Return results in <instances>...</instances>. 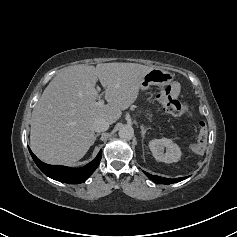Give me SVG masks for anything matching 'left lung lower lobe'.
I'll return each instance as SVG.
<instances>
[{
  "instance_id": "left-lung-lower-lobe-1",
  "label": "left lung lower lobe",
  "mask_w": 237,
  "mask_h": 237,
  "mask_svg": "<svg viewBox=\"0 0 237 237\" xmlns=\"http://www.w3.org/2000/svg\"><path fill=\"white\" fill-rule=\"evenodd\" d=\"M145 174L152 179L154 182L158 183V184H172V183H177L180 182L182 180H185L187 177H180V178H176V179H168V178H161L160 176H155V175H151L149 173Z\"/></svg>"
}]
</instances>
